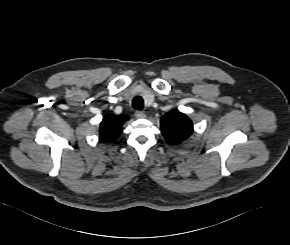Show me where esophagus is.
Listing matches in <instances>:
<instances>
[{
  "mask_svg": "<svg viewBox=\"0 0 290 245\" xmlns=\"http://www.w3.org/2000/svg\"><path fill=\"white\" fill-rule=\"evenodd\" d=\"M135 116H136V118H145L146 117V115H145V113L144 112H142V111H136L135 112Z\"/></svg>",
  "mask_w": 290,
  "mask_h": 245,
  "instance_id": "obj_1",
  "label": "esophagus"
}]
</instances>
